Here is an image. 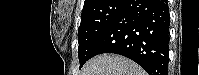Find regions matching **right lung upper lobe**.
<instances>
[{"mask_svg": "<svg viewBox=\"0 0 199 75\" xmlns=\"http://www.w3.org/2000/svg\"><path fill=\"white\" fill-rule=\"evenodd\" d=\"M104 1L105 0H85L83 9L98 6L102 4Z\"/></svg>", "mask_w": 199, "mask_h": 75, "instance_id": "1", "label": "right lung upper lobe"}]
</instances>
